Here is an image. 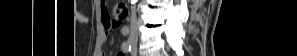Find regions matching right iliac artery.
<instances>
[{
    "label": "right iliac artery",
    "instance_id": "1",
    "mask_svg": "<svg viewBox=\"0 0 297 56\" xmlns=\"http://www.w3.org/2000/svg\"><path fill=\"white\" fill-rule=\"evenodd\" d=\"M121 48L124 52H129L131 51V45L129 42H123L121 45Z\"/></svg>",
    "mask_w": 297,
    "mask_h": 56
}]
</instances>
